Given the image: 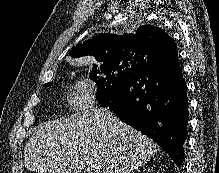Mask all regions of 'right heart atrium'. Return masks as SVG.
<instances>
[{
    "instance_id": "d8ad5b80",
    "label": "right heart atrium",
    "mask_w": 219,
    "mask_h": 173,
    "mask_svg": "<svg viewBox=\"0 0 219 173\" xmlns=\"http://www.w3.org/2000/svg\"><path fill=\"white\" fill-rule=\"evenodd\" d=\"M67 99L75 111L86 112L96 104L97 92L89 83L79 81L70 86Z\"/></svg>"
}]
</instances>
